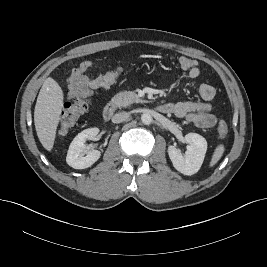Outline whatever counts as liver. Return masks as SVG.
Masks as SVG:
<instances>
[{
    "mask_svg": "<svg viewBox=\"0 0 267 267\" xmlns=\"http://www.w3.org/2000/svg\"><path fill=\"white\" fill-rule=\"evenodd\" d=\"M63 100L64 94L61 87L53 78L48 77L38 94L34 110L37 136L47 151L53 149Z\"/></svg>",
    "mask_w": 267,
    "mask_h": 267,
    "instance_id": "liver-1",
    "label": "liver"
}]
</instances>
